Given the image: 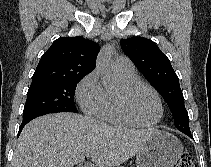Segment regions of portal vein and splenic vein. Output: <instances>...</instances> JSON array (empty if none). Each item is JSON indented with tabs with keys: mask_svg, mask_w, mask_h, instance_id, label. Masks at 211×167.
Masks as SVG:
<instances>
[{
	"mask_svg": "<svg viewBox=\"0 0 211 167\" xmlns=\"http://www.w3.org/2000/svg\"><path fill=\"white\" fill-rule=\"evenodd\" d=\"M93 156H94L93 153H87V154H86V157H87V158H92Z\"/></svg>",
	"mask_w": 211,
	"mask_h": 167,
	"instance_id": "1",
	"label": "portal vein and splenic vein"
}]
</instances>
